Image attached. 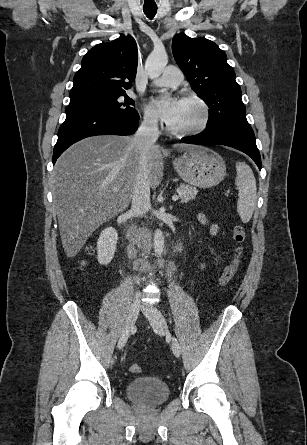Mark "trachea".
Returning a JSON list of instances; mask_svg holds the SVG:
<instances>
[{
	"instance_id": "1",
	"label": "trachea",
	"mask_w": 307,
	"mask_h": 445,
	"mask_svg": "<svg viewBox=\"0 0 307 445\" xmlns=\"http://www.w3.org/2000/svg\"><path fill=\"white\" fill-rule=\"evenodd\" d=\"M143 11L148 18H153L157 12V7H144Z\"/></svg>"
}]
</instances>
